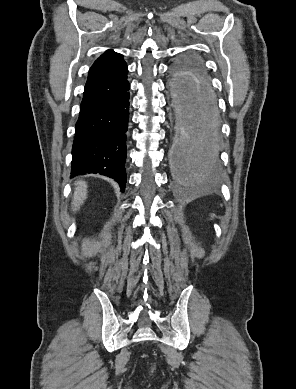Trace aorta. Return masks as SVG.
<instances>
[{
    "instance_id": "aorta-1",
    "label": "aorta",
    "mask_w": 296,
    "mask_h": 389,
    "mask_svg": "<svg viewBox=\"0 0 296 389\" xmlns=\"http://www.w3.org/2000/svg\"><path fill=\"white\" fill-rule=\"evenodd\" d=\"M169 96L175 114L177 134L169 145L170 166L175 167L178 184L191 187L202 183L218 162L216 91L211 81H203L202 72L187 67L170 69Z\"/></svg>"
}]
</instances>
